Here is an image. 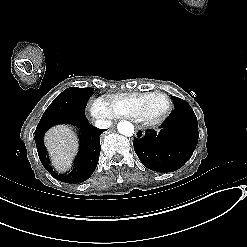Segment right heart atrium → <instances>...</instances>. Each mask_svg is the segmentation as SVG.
Returning <instances> with one entry per match:
<instances>
[{
    "label": "right heart atrium",
    "mask_w": 247,
    "mask_h": 247,
    "mask_svg": "<svg viewBox=\"0 0 247 247\" xmlns=\"http://www.w3.org/2000/svg\"><path fill=\"white\" fill-rule=\"evenodd\" d=\"M90 110L95 120H103L109 118L108 111L100 99H96L92 102Z\"/></svg>",
    "instance_id": "obj_1"
}]
</instances>
